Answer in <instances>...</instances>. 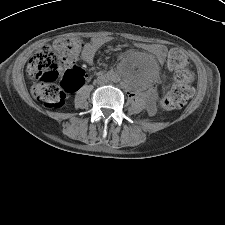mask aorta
<instances>
[{
	"mask_svg": "<svg viewBox=\"0 0 225 225\" xmlns=\"http://www.w3.org/2000/svg\"><path fill=\"white\" fill-rule=\"evenodd\" d=\"M112 81L117 82V81H118V78L113 77V78H112Z\"/></svg>",
	"mask_w": 225,
	"mask_h": 225,
	"instance_id": "aorta-1",
	"label": "aorta"
}]
</instances>
